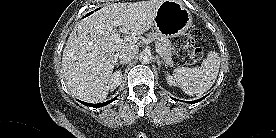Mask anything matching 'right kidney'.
Here are the masks:
<instances>
[{
	"label": "right kidney",
	"mask_w": 276,
	"mask_h": 138,
	"mask_svg": "<svg viewBox=\"0 0 276 138\" xmlns=\"http://www.w3.org/2000/svg\"><path fill=\"white\" fill-rule=\"evenodd\" d=\"M122 72L121 71H116L111 75V78L109 80V88L113 91L115 90L122 81Z\"/></svg>",
	"instance_id": "1"
}]
</instances>
